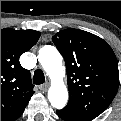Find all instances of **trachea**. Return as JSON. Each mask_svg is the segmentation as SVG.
Returning a JSON list of instances; mask_svg holds the SVG:
<instances>
[{"mask_svg": "<svg viewBox=\"0 0 121 121\" xmlns=\"http://www.w3.org/2000/svg\"><path fill=\"white\" fill-rule=\"evenodd\" d=\"M45 82V76L42 70H36L33 76V83L36 85L43 84Z\"/></svg>", "mask_w": 121, "mask_h": 121, "instance_id": "obj_1", "label": "trachea"}]
</instances>
